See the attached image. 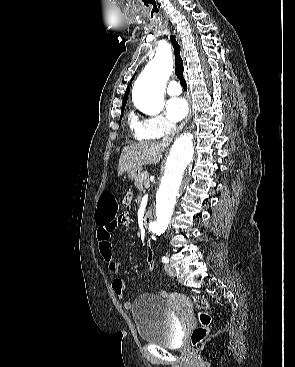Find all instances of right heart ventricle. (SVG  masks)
<instances>
[{
    "instance_id": "right-heart-ventricle-1",
    "label": "right heart ventricle",
    "mask_w": 295,
    "mask_h": 367,
    "mask_svg": "<svg viewBox=\"0 0 295 367\" xmlns=\"http://www.w3.org/2000/svg\"><path fill=\"white\" fill-rule=\"evenodd\" d=\"M128 121H129V124L130 126L133 128L135 122L137 121V118L135 117V115L133 113L129 114L128 116ZM136 136V135H135ZM137 137V136H136ZM139 138V137H137ZM139 139H143V138H139Z\"/></svg>"
}]
</instances>
